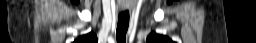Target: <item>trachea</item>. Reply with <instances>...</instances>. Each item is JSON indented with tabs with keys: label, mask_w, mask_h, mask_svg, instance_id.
I'll use <instances>...</instances> for the list:
<instances>
[{
	"label": "trachea",
	"mask_w": 256,
	"mask_h": 43,
	"mask_svg": "<svg viewBox=\"0 0 256 43\" xmlns=\"http://www.w3.org/2000/svg\"><path fill=\"white\" fill-rule=\"evenodd\" d=\"M129 26V11H123L118 16L116 38L118 43L126 42V33Z\"/></svg>",
	"instance_id": "trachea-1"
}]
</instances>
